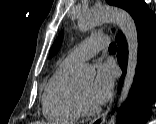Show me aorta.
I'll list each match as a JSON object with an SVG mask.
<instances>
[{
    "label": "aorta",
    "mask_w": 156,
    "mask_h": 124,
    "mask_svg": "<svg viewBox=\"0 0 156 124\" xmlns=\"http://www.w3.org/2000/svg\"><path fill=\"white\" fill-rule=\"evenodd\" d=\"M105 22L116 24L124 34L128 45L127 72L116 105V109H119L126 101L133 84L138 61V34L136 24L130 14L117 8L102 7L91 9L80 18L78 26L81 31H87L92 27ZM76 74L80 79H86L93 74V69L89 66H82L77 70ZM117 114L118 111L115 110L111 115L108 124L116 123Z\"/></svg>",
    "instance_id": "obj_1"
}]
</instances>
